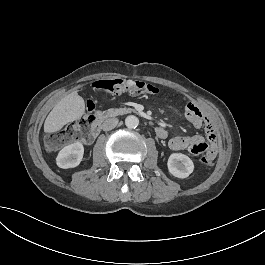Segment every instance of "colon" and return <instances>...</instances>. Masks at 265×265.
<instances>
[{
  "mask_svg": "<svg viewBox=\"0 0 265 265\" xmlns=\"http://www.w3.org/2000/svg\"><path fill=\"white\" fill-rule=\"evenodd\" d=\"M92 87L97 92H106L114 96L123 94H131L135 96L153 94L157 92V86L152 83L127 80L121 78L113 79H97L93 82ZM76 136V131L72 126H67L57 132L50 134L47 137V146L51 149L71 141ZM201 164L210 166L213 164L211 160L206 157V154L200 159Z\"/></svg>",
  "mask_w": 265,
  "mask_h": 265,
  "instance_id": "1",
  "label": "colon"
}]
</instances>
